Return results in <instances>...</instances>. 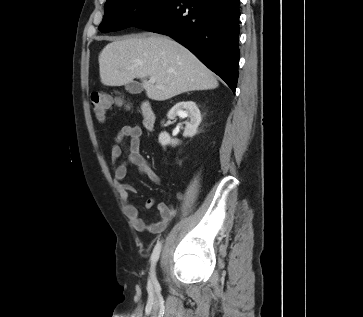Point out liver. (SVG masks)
Listing matches in <instances>:
<instances>
[{
    "instance_id": "6515ba94",
    "label": "liver",
    "mask_w": 363,
    "mask_h": 317,
    "mask_svg": "<svg viewBox=\"0 0 363 317\" xmlns=\"http://www.w3.org/2000/svg\"><path fill=\"white\" fill-rule=\"evenodd\" d=\"M98 60L103 85L122 86L139 78L148 98L156 101L218 87L214 74L195 55L161 35L116 39L104 47ZM147 77H154L155 83Z\"/></svg>"
}]
</instances>
